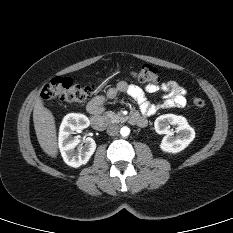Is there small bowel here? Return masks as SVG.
Here are the masks:
<instances>
[{"instance_id":"1","label":"small bowel","mask_w":233,"mask_h":233,"mask_svg":"<svg viewBox=\"0 0 233 233\" xmlns=\"http://www.w3.org/2000/svg\"><path fill=\"white\" fill-rule=\"evenodd\" d=\"M158 91L163 93L164 100L161 103L152 104L147 100L145 92L155 93ZM118 92L126 93L132 97L139 105L140 115L144 117L153 115L160 110L182 108L186 105V90L175 81L148 84L144 89L135 84L120 81L116 88L109 89L105 96L93 98L87 106L88 111L102 112L105 101L116 97Z\"/></svg>"}]
</instances>
